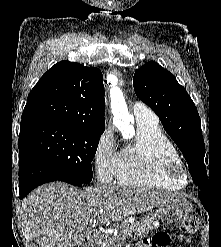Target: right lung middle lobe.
<instances>
[{"instance_id":"right-lung-middle-lobe-1","label":"right lung middle lobe","mask_w":221,"mask_h":247,"mask_svg":"<svg viewBox=\"0 0 221 247\" xmlns=\"http://www.w3.org/2000/svg\"><path fill=\"white\" fill-rule=\"evenodd\" d=\"M100 136L101 133L69 124L27 127L20 129L19 154L40 158L86 184L93 178L91 162Z\"/></svg>"}]
</instances>
